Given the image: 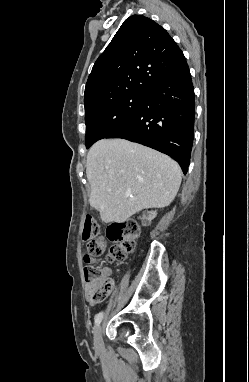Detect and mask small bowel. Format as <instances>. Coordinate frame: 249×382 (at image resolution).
<instances>
[{
    "label": "small bowel",
    "instance_id": "small-bowel-1",
    "mask_svg": "<svg viewBox=\"0 0 249 382\" xmlns=\"http://www.w3.org/2000/svg\"><path fill=\"white\" fill-rule=\"evenodd\" d=\"M103 272H104L105 276H108L110 274V270L108 268H105L103 270ZM86 292H87L88 301H89V303L91 305H95V304L99 303V302H94V301L90 300L89 296H90V293H91V289H90L89 285L87 286Z\"/></svg>",
    "mask_w": 249,
    "mask_h": 382
}]
</instances>
